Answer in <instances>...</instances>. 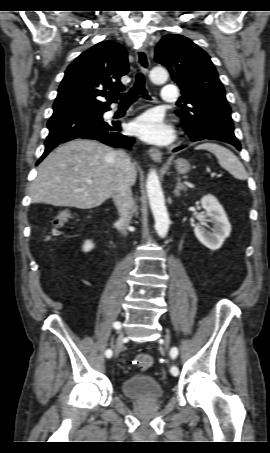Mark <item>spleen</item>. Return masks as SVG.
I'll use <instances>...</instances> for the list:
<instances>
[{
    "instance_id": "obj_1",
    "label": "spleen",
    "mask_w": 270,
    "mask_h": 453,
    "mask_svg": "<svg viewBox=\"0 0 270 453\" xmlns=\"http://www.w3.org/2000/svg\"><path fill=\"white\" fill-rule=\"evenodd\" d=\"M197 150H207L218 159L219 165L227 170L234 178L246 180L248 175L238 157L229 149L215 143H204L196 147Z\"/></svg>"
}]
</instances>
